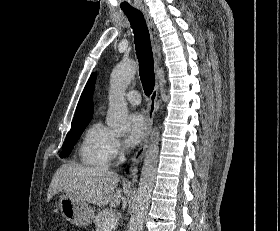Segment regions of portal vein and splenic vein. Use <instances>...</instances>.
<instances>
[{"mask_svg":"<svg viewBox=\"0 0 280 231\" xmlns=\"http://www.w3.org/2000/svg\"><path fill=\"white\" fill-rule=\"evenodd\" d=\"M118 219H116V217H110V219H105L103 225H102V229L103 231H111L112 227H114V225H116Z\"/></svg>","mask_w":280,"mask_h":231,"instance_id":"1","label":"portal vein and splenic vein"}]
</instances>
